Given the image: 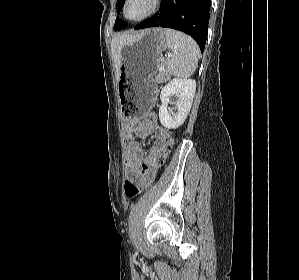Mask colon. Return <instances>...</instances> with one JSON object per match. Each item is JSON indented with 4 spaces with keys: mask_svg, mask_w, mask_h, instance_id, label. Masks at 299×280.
<instances>
[{
    "mask_svg": "<svg viewBox=\"0 0 299 280\" xmlns=\"http://www.w3.org/2000/svg\"><path fill=\"white\" fill-rule=\"evenodd\" d=\"M156 115L154 113H149L145 117V121H154ZM173 138L171 137L165 145L162 147L160 155L153 161L144 163L140 169L141 181L127 180L124 185V191L127 198L131 199L136 197L142 190L147 188L155 173L166 161L173 145Z\"/></svg>",
    "mask_w": 299,
    "mask_h": 280,
    "instance_id": "colon-1",
    "label": "colon"
}]
</instances>
